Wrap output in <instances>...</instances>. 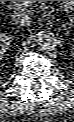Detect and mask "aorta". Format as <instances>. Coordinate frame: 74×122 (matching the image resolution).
I'll use <instances>...</instances> for the list:
<instances>
[{
	"mask_svg": "<svg viewBox=\"0 0 74 122\" xmlns=\"http://www.w3.org/2000/svg\"><path fill=\"white\" fill-rule=\"evenodd\" d=\"M37 44L40 51L50 52L56 48L58 40L54 33L49 31H40L37 34Z\"/></svg>",
	"mask_w": 74,
	"mask_h": 122,
	"instance_id": "obj_1",
	"label": "aorta"
}]
</instances>
